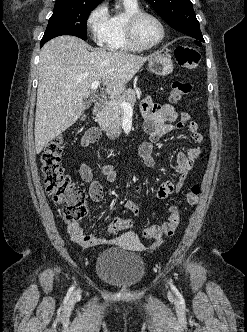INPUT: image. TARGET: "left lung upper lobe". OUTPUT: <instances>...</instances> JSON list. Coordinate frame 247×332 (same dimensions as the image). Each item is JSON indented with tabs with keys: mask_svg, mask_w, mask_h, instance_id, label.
Segmentation results:
<instances>
[{
	"mask_svg": "<svg viewBox=\"0 0 247 332\" xmlns=\"http://www.w3.org/2000/svg\"><path fill=\"white\" fill-rule=\"evenodd\" d=\"M172 28L204 42L190 0H145Z\"/></svg>",
	"mask_w": 247,
	"mask_h": 332,
	"instance_id": "left-lung-upper-lobe-1",
	"label": "left lung upper lobe"
}]
</instances>
